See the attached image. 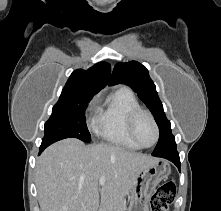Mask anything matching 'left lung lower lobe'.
<instances>
[{"instance_id": "1", "label": "left lung lower lobe", "mask_w": 221, "mask_h": 211, "mask_svg": "<svg viewBox=\"0 0 221 211\" xmlns=\"http://www.w3.org/2000/svg\"><path fill=\"white\" fill-rule=\"evenodd\" d=\"M160 157L168 159L169 161L173 162L180 170V159H179L178 152H174L171 154H164V155H161Z\"/></svg>"}]
</instances>
